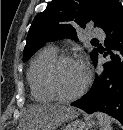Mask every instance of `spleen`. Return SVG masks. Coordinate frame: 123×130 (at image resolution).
<instances>
[{"mask_svg":"<svg viewBox=\"0 0 123 130\" xmlns=\"http://www.w3.org/2000/svg\"><path fill=\"white\" fill-rule=\"evenodd\" d=\"M96 116L99 121L100 130H112V119L108 115L98 112Z\"/></svg>","mask_w":123,"mask_h":130,"instance_id":"3e777b00","label":"spleen"}]
</instances>
